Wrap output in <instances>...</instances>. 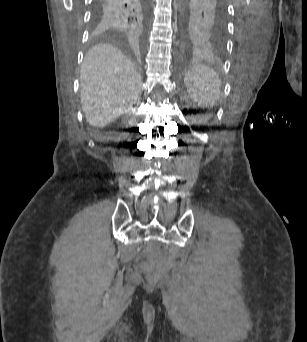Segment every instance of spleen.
Segmentation results:
<instances>
[{
	"mask_svg": "<svg viewBox=\"0 0 307 342\" xmlns=\"http://www.w3.org/2000/svg\"><path fill=\"white\" fill-rule=\"evenodd\" d=\"M190 95L201 108H213L219 98L221 80L219 74L208 66H194L193 70L186 72Z\"/></svg>",
	"mask_w": 307,
	"mask_h": 342,
	"instance_id": "spleen-1",
	"label": "spleen"
}]
</instances>
